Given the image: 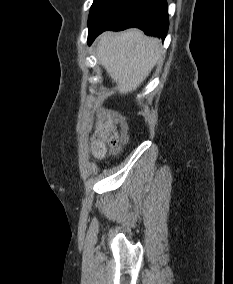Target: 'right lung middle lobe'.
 Returning <instances> with one entry per match:
<instances>
[{
	"label": "right lung middle lobe",
	"instance_id": "obj_1",
	"mask_svg": "<svg viewBox=\"0 0 233 284\" xmlns=\"http://www.w3.org/2000/svg\"><path fill=\"white\" fill-rule=\"evenodd\" d=\"M112 0H94L88 19V26L101 14Z\"/></svg>",
	"mask_w": 233,
	"mask_h": 284
}]
</instances>
